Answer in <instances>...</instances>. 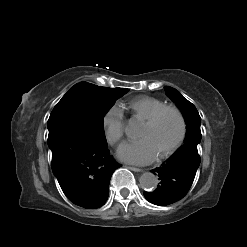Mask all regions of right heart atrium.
<instances>
[{
  "mask_svg": "<svg viewBox=\"0 0 247 247\" xmlns=\"http://www.w3.org/2000/svg\"><path fill=\"white\" fill-rule=\"evenodd\" d=\"M104 137L111 146L117 145L124 134V120L121 109L114 105L110 107L102 118Z\"/></svg>",
  "mask_w": 247,
  "mask_h": 247,
  "instance_id": "right-heart-atrium-1",
  "label": "right heart atrium"
}]
</instances>
